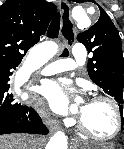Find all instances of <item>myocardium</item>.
<instances>
[{
	"label": "myocardium",
	"mask_w": 124,
	"mask_h": 149,
	"mask_svg": "<svg viewBox=\"0 0 124 149\" xmlns=\"http://www.w3.org/2000/svg\"><path fill=\"white\" fill-rule=\"evenodd\" d=\"M98 101H105L112 106L115 117H116V127H115L114 132L108 136L96 135L86 127V125L82 122V120L80 118L77 121L78 128L80 129V131L82 133H84L85 135H87L88 137H90L96 141H111V140L115 139L116 137H118L122 131L124 113L122 112L117 101L109 96L97 95V96L92 97V99H91V102H98Z\"/></svg>",
	"instance_id": "myocardium-1"
}]
</instances>
